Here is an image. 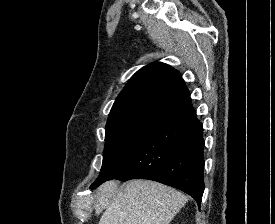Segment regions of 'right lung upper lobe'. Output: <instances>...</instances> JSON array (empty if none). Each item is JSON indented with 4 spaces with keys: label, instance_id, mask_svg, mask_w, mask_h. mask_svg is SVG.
<instances>
[{
    "label": "right lung upper lobe",
    "instance_id": "1",
    "mask_svg": "<svg viewBox=\"0 0 275 224\" xmlns=\"http://www.w3.org/2000/svg\"><path fill=\"white\" fill-rule=\"evenodd\" d=\"M189 97L180 73L161 62H154L137 71L115 100L108 121L142 110L167 111Z\"/></svg>",
    "mask_w": 275,
    "mask_h": 224
}]
</instances>
